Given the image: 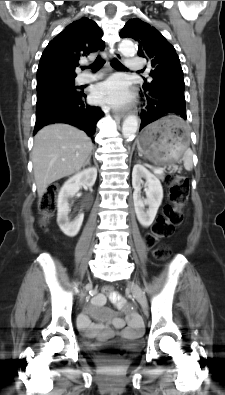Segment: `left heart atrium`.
Here are the masks:
<instances>
[{
  "instance_id": "obj_1",
  "label": "left heart atrium",
  "mask_w": 225,
  "mask_h": 395,
  "mask_svg": "<svg viewBox=\"0 0 225 395\" xmlns=\"http://www.w3.org/2000/svg\"><path fill=\"white\" fill-rule=\"evenodd\" d=\"M130 98L127 85L123 79L113 77L100 85L93 92V99L98 103H108L113 106L125 104Z\"/></svg>"
}]
</instances>
